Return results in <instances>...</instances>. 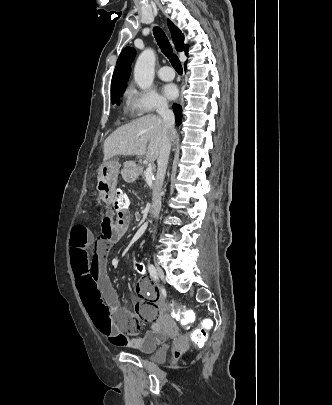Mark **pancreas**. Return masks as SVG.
Wrapping results in <instances>:
<instances>
[{"label": "pancreas", "instance_id": "cf45deb5", "mask_svg": "<svg viewBox=\"0 0 332 405\" xmlns=\"http://www.w3.org/2000/svg\"><path fill=\"white\" fill-rule=\"evenodd\" d=\"M137 174H142L143 173V166H138L136 168ZM145 172V171H144Z\"/></svg>", "mask_w": 332, "mask_h": 405}]
</instances>
